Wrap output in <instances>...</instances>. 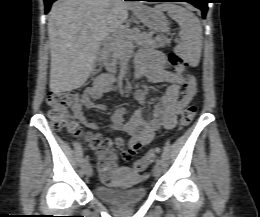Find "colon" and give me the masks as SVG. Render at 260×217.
I'll list each match as a JSON object with an SVG mask.
<instances>
[{
  "label": "colon",
  "mask_w": 260,
  "mask_h": 217,
  "mask_svg": "<svg viewBox=\"0 0 260 217\" xmlns=\"http://www.w3.org/2000/svg\"><path fill=\"white\" fill-rule=\"evenodd\" d=\"M169 64L177 72H184L186 69V62L177 54L171 53L168 56ZM185 88L188 87V83L183 84ZM86 95L76 91L62 92V93H50L47 97V103L50 106L48 117L51 121L53 128L57 131L65 132L73 136H84L90 143V145L100 152V156L110 152L111 142L102 139L98 134L91 132H84L78 125V123L71 116L69 109L76 105L84 103ZM196 114V107L194 105L188 106L181 115L179 129L188 127ZM159 153V149H152L144 157L137 160L134 163V168L138 171L144 170L150 165ZM123 156H131V151L127 150L123 152ZM107 161H99V170L104 171V167Z\"/></svg>",
  "instance_id": "1"
}]
</instances>
